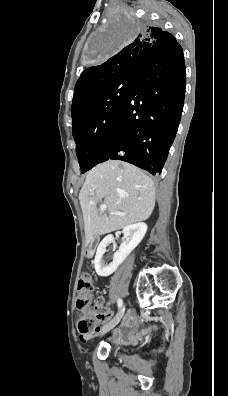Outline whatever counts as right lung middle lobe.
I'll return each mask as SVG.
<instances>
[{
  "label": "right lung middle lobe",
  "mask_w": 228,
  "mask_h": 396,
  "mask_svg": "<svg viewBox=\"0 0 228 396\" xmlns=\"http://www.w3.org/2000/svg\"><path fill=\"white\" fill-rule=\"evenodd\" d=\"M118 24L127 25L129 35L117 33L118 27L103 34L96 42L95 58L107 57L145 26L144 21H139L132 15L120 18ZM132 78L133 76H125L111 81L72 118V133L82 173L97 165L105 155L114 122L130 90Z\"/></svg>",
  "instance_id": "obj_1"
}]
</instances>
